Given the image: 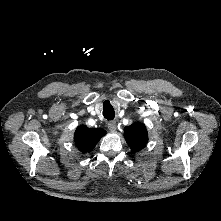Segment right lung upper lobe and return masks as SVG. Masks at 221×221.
<instances>
[{
	"mask_svg": "<svg viewBox=\"0 0 221 221\" xmlns=\"http://www.w3.org/2000/svg\"><path fill=\"white\" fill-rule=\"evenodd\" d=\"M106 134L103 129H92L84 125L77 127L74 142L82 152H91L98 141Z\"/></svg>",
	"mask_w": 221,
	"mask_h": 221,
	"instance_id": "cb5924a9",
	"label": "right lung upper lobe"
}]
</instances>
